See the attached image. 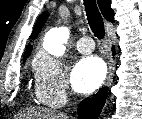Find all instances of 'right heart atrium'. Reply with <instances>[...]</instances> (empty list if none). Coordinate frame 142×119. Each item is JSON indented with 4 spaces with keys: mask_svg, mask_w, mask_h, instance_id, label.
I'll use <instances>...</instances> for the list:
<instances>
[{
    "mask_svg": "<svg viewBox=\"0 0 142 119\" xmlns=\"http://www.w3.org/2000/svg\"><path fill=\"white\" fill-rule=\"evenodd\" d=\"M33 68L40 101L50 107L65 105L70 98L65 64L47 53H40Z\"/></svg>",
    "mask_w": 142,
    "mask_h": 119,
    "instance_id": "1",
    "label": "right heart atrium"
}]
</instances>
